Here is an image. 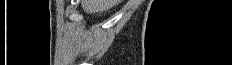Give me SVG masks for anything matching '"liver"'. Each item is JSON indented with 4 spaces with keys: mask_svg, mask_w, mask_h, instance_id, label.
Segmentation results:
<instances>
[{
    "mask_svg": "<svg viewBox=\"0 0 232 65\" xmlns=\"http://www.w3.org/2000/svg\"><path fill=\"white\" fill-rule=\"evenodd\" d=\"M120 2L121 0H81V6L86 13L94 14L106 11Z\"/></svg>",
    "mask_w": 232,
    "mask_h": 65,
    "instance_id": "liver-1",
    "label": "liver"
}]
</instances>
